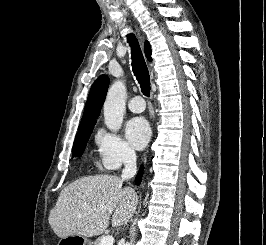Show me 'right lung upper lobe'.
Here are the masks:
<instances>
[{"label": "right lung upper lobe", "instance_id": "1", "mask_svg": "<svg viewBox=\"0 0 266 245\" xmlns=\"http://www.w3.org/2000/svg\"><path fill=\"white\" fill-rule=\"evenodd\" d=\"M145 54L151 61V47L145 42ZM109 78L106 75H100L93 83L85 105L84 114L79 126L96 121L98 118L103 102L108 90Z\"/></svg>", "mask_w": 266, "mask_h": 245}]
</instances>
